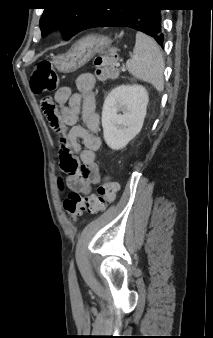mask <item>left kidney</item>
Returning a JSON list of instances; mask_svg holds the SVG:
<instances>
[{
    "instance_id": "obj_1",
    "label": "left kidney",
    "mask_w": 213,
    "mask_h": 338,
    "mask_svg": "<svg viewBox=\"0 0 213 338\" xmlns=\"http://www.w3.org/2000/svg\"><path fill=\"white\" fill-rule=\"evenodd\" d=\"M149 102L141 85H121L105 98L102 109L104 140L113 150L123 149L141 130ZM123 114H118V111Z\"/></svg>"
}]
</instances>
